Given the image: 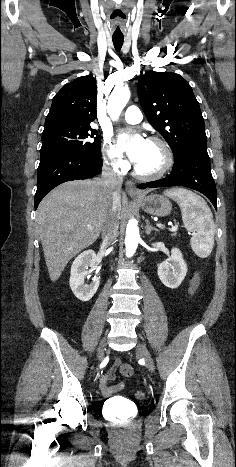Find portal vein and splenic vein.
Returning <instances> with one entry per match:
<instances>
[{"mask_svg": "<svg viewBox=\"0 0 236 467\" xmlns=\"http://www.w3.org/2000/svg\"><path fill=\"white\" fill-rule=\"evenodd\" d=\"M157 227L162 228V229L164 228V226L162 224H160V223L157 224ZM89 229H91V227H89ZM177 229H178L177 225L172 226L171 228H169L170 231H177Z\"/></svg>", "mask_w": 236, "mask_h": 467, "instance_id": "18ae733b", "label": "portal vein and splenic vein"}]
</instances>
